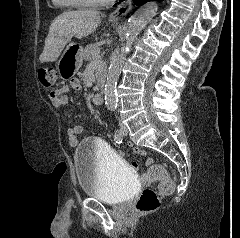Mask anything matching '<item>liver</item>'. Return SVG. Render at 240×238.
Masks as SVG:
<instances>
[{
    "mask_svg": "<svg viewBox=\"0 0 240 238\" xmlns=\"http://www.w3.org/2000/svg\"><path fill=\"white\" fill-rule=\"evenodd\" d=\"M100 13L93 10L66 11L51 24L40 62L56 61L73 36L78 39L90 35L100 23Z\"/></svg>",
    "mask_w": 240,
    "mask_h": 238,
    "instance_id": "obj_1",
    "label": "liver"
}]
</instances>
